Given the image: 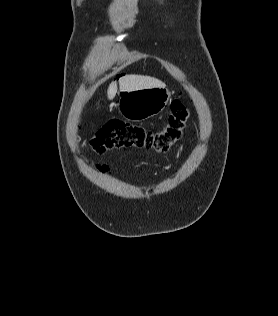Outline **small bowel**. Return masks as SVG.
Returning <instances> with one entry per match:
<instances>
[{"instance_id":"1","label":"small bowel","mask_w":278,"mask_h":316,"mask_svg":"<svg viewBox=\"0 0 278 316\" xmlns=\"http://www.w3.org/2000/svg\"><path fill=\"white\" fill-rule=\"evenodd\" d=\"M107 168H108V167L105 166V165H101V166L98 167L99 171H101V172L107 171Z\"/></svg>"}]
</instances>
